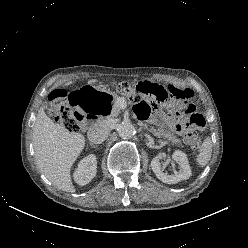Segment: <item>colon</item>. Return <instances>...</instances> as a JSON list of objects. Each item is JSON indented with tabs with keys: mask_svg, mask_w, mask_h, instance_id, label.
Wrapping results in <instances>:
<instances>
[{
	"mask_svg": "<svg viewBox=\"0 0 248 248\" xmlns=\"http://www.w3.org/2000/svg\"><path fill=\"white\" fill-rule=\"evenodd\" d=\"M116 90L128 94L137 104L150 102L151 105L163 104L172 111H182L188 116L187 125L190 128L189 143L193 149L200 146V139L195 130L205 126V118L196 111L195 105L188 101L189 90H182L173 86L165 88L155 84L141 82L131 86L127 82L119 83ZM70 93L64 89H58L50 94V111L56 121L61 123L71 132H77L81 128L84 112L75 110L70 104Z\"/></svg>",
	"mask_w": 248,
	"mask_h": 248,
	"instance_id": "5ec220e1",
	"label": "colon"
}]
</instances>
